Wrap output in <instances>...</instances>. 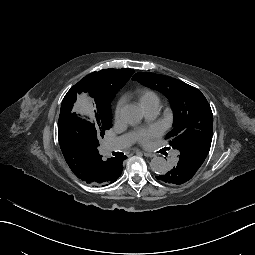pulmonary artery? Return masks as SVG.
<instances>
[{"instance_id":"e3ab8cb5","label":"pulmonary artery","mask_w":255,"mask_h":255,"mask_svg":"<svg viewBox=\"0 0 255 255\" xmlns=\"http://www.w3.org/2000/svg\"><path fill=\"white\" fill-rule=\"evenodd\" d=\"M158 111H159L158 105H153V106L144 108V113H145L146 117H148V118H152V117L156 116ZM145 127L147 129H150L152 127V124L150 122H147L145 124ZM132 136L134 139L139 140L142 138L143 133L141 130L136 129L133 131ZM129 142H130V135H125V136L117 138L116 140L108 141L106 143V149L108 152L119 151V150L123 149L124 147H126L129 144ZM168 156H169L168 161L170 164L175 165L178 163L179 153L177 150H175V149L170 150L168 153Z\"/></svg>"}]
</instances>
